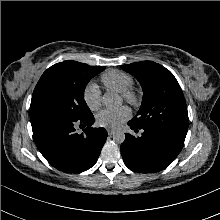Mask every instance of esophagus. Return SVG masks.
<instances>
[{"mask_svg":"<svg viewBox=\"0 0 220 220\" xmlns=\"http://www.w3.org/2000/svg\"><path fill=\"white\" fill-rule=\"evenodd\" d=\"M108 135H113L115 133V131L113 129H108L107 130Z\"/></svg>","mask_w":220,"mask_h":220,"instance_id":"34e87169","label":"esophagus"}]
</instances>
